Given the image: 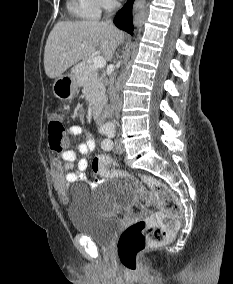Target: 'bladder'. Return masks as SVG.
<instances>
[{"instance_id":"obj_1","label":"bladder","mask_w":233,"mask_h":284,"mask_svg":"<svg viewBox=\"0 0 233 284\" xmlns=\"http://www.w3.org/2000/svg\"><path fill=\"white\" fill-rule=\"evenodd\" d=\"M134 197L133 188L125 181L108 183L102 197L96 200L87 188L77 185L72 188L67 209L68 218L74 230L90 237L102 246H108L121 227V221L100 211L103 205L123 206Z\"/></svg>"}]
</instances>
